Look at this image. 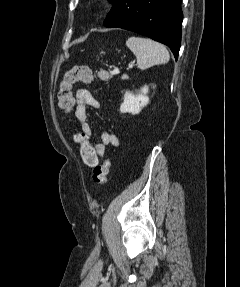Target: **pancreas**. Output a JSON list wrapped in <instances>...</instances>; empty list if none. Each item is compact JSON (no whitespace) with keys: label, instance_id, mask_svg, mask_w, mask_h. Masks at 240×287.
<instances>
[{"label":"pancreas","instance_id":"1","mask_svg":"<svg viewBox=\"0 0 240 287\" xmlns=\"http://www.w3.org/2000/svg\"><path fill=\"white\" fill-rule=\"evenodd\" d=\"M97 76L103 81H108L109 79H111L112 74L107 71L101 70L98 72Z\"/></svg>","mask_w":240,"mask_h":287}]
</instances>
